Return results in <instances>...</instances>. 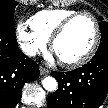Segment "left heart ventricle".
I'll return each instance as SVG.
<instances>
[{
    "mask_svg": "<svg viewBox=\"0 0 108 108\" xmlns=\"http://www.w3.org/2000/svg\"><path fill=\"white\" fill-rule=\"evenodd\" d=\"M95 35L92 20L76 19L56 41L53 51L59 60L70 61L82 56L90 47Z\"/></svg>",
    "mask_w": 108,
    "mask_h": 108,
    "instance_id": "left-heart-ventricle-1",
    "label": "left heart ventricle"
}]
</instances>
